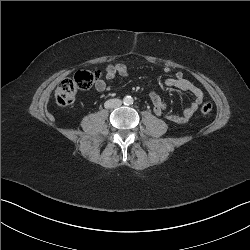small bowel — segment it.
Returning a JSON list of instances; mask_svg holds the SVG:
<instances>
[{
    "label": "small bowel",
    "mask_w": 250,
    "mask_h": 250,
    "mask_svg": "<svg viewBox=\"0 0 250 250\" xmlns=\"http://www.w3.org/2000/svg\"><path fill=\"white\" fill-rule=\"evenodd\" d=\"M163 72L166 74L171 73L170 67H165ZM126 77L129 75L128 67L123 63L110 64L105 69V78L97 80L95 84V89L98 92H105L109 89L107 81L114 79L116 76ZM164 85L167 87H172L179 89L184 92H189L193 95V101L183 110L181 114H168L165 118L175 124H186L197 112L200 104L205 98L203 90L191 81L185 78L184 74L180 71L176 72L174 76L168 77L164 80ZM150 100L153 105V111L156 115L162 116L166 109L165 103L162 101L159 94L155 91H151L149 94Z\"/></svg>",
    "instance_id": "small-bowel-1"
}]
</instances>
